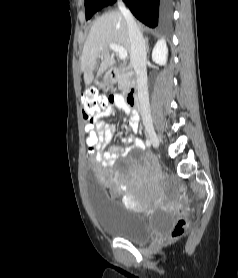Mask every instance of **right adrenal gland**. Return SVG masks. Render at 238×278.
<instances>
[{
    "instance_id": "obj_1",
    "label": "right adrenal gland",
    "mask_w": 238,
    "mask_h": 278,
    "mask_svg": "<svg viewBox=\"0 0 238 278\" xmlns=\"http://www.w3.org/2000/svg\"><path fill=\"white\" fill-rule=\"evenodd\" d=\"M147 51H149L148 38L145 39Z\"/></svg>"
}]
</instances>
